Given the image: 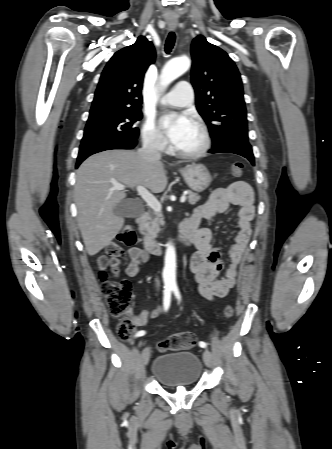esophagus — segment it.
I'll return each mask as SVG.
<instances>
[{
    "mask_svg": "<svg viewBox=\"0 0 332 449\" xmlns=\"http://www.w3.org/2000/svg\"><path fill=\"white\" fill-rule=\"evenodd\" d=\"M169 28H170V29H175V28H176V25H175V24H170V25H169Z\"/></svg>",
    "mask_w": 332,
    "mask_h": 449,
    "instance_id": "34e87169",
    "label": "esophagus"
}]
</instances>
